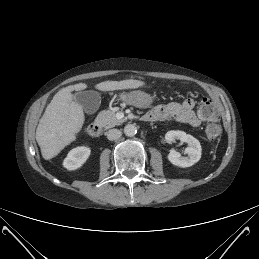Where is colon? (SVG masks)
I'll use <instances>...</instances> for the list:
<instances>
[{
	"label": "colon",
	"instance_id": "obj_1",
	"mask_svg": "<svg viewBox=\"0 0 259 259\" xmlns=\"http://www.w3.org/2000/svg\"><path fill=\"white\" fill-rule=\"evenodd\" d=\"M200 111L209 117V121L204 129L206 137L210 140L216 139L220 135L221 127L217 122V112L208 98L203 99Z\"/></svg>",
	"mask_w": 259,
	"mask_h": 259
}]
</instances>
